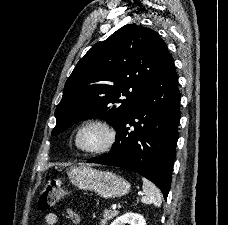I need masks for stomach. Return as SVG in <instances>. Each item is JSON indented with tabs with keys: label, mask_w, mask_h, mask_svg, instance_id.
Wrapping results in <instances>:
<instances>
[{
	"label": "stomach",
	"mask_w": 228,
	"mask_h": 225,
	"mask_svg": "<svg viewBox=\"0 0 228 225\" xmlns=\"http://www.w3.org/2000/svg\"><path fill=\"white\" fill-rule=\"evenodd\" d=\"M71 183L82 189V191H94L103 199H114V197H124L131 191V185L109 171H97L91 167H73L70 173Z\"/></svg>",
	"instance_id": "stomach-1"
}]
</instances>
